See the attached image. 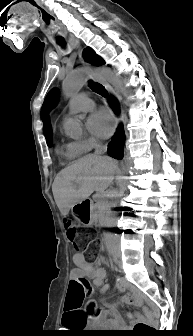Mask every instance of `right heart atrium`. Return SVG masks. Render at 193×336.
I'll use <instances>...</instances> for the list:
<instances>
[{"label":"right heart atrium","instance_id":"d8ad5b80","mask_svg":"<svg viewBox=\"0 0 193 336\" xmlns=\"http://www.w3.org/2000/svg\"><path fill=\"white\" fill-rule=\"evenodd\" d=\"M82 153L88 152L94 148L97 141L93 138H85L74 142Z\"/></svg>","mask_w":193,"mask_h":336}]
</instances>
